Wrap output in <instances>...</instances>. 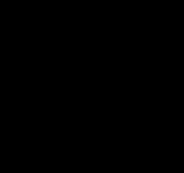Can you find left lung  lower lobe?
I'll return each instance as SVG.
<instances>
[{"mask_svg": "<svg viewBox=\"0 0 184 173\" xmlns=\"http://www.w3.org/2000/svg\"><path fill=\"white\" fill-rule=\"evenodd\" d=\"M102 156L114 166L131 167L141 162L153 147L148 146L125 128L106 127L98 136Z\"/></svg>", "mask_w": 184, "mask_h": 173, "instance_id": "obj_1", "label": "left lung lower lobe"}]
</instances>
